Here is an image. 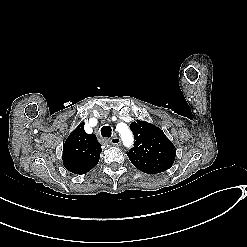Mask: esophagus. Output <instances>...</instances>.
<instances>
[{
	"label": "esophagus",
	"instance_id": "1",
	"mask_svg": "<svg viewBox=\"0 0 247 247\" xmlns=\"http://www.w3.org/2000/svg\"><path fill=\"white\" fill-rule=\"evenodd\" d=\"M110 143H111L112 145H120V144H121V140H120L119 137H114V138H112V139L110 140Z\"/></svg>",
	"mask_w": 247,
	"mask_h": 247
}]
</instances>
